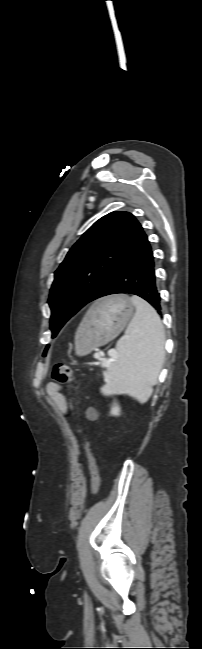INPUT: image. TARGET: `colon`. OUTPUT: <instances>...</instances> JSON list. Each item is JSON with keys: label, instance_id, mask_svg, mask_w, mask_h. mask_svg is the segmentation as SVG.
<instances>
[{"label": "colon", "instance_id": "colon-1", "mask_svg": "<svg viewBox=\"0 0 202 649\" xmlns=\"http://www.w3.org/2000/svg\"><path fill=\"white\" fill-rule=\"evenodd\" d=\"M51 377L55 382L60 384H69L72 383L74 380L73 370L69 365L65 363L55 364L51 372ZM72 408H75L74 404H72ZM79 430L80 431L84 430L82 425H79ZM86 447L91 462V472H92L91 494L94 495L98 490L99 482H100L99 467H98L97 459L92 452L91 444L89 441H86Z\"/></svg>", "mask_w": 202, "mask_h": 649}]
</instances>
